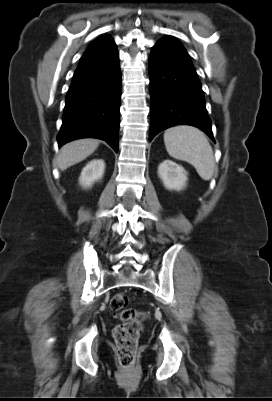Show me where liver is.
Instances as JSON below:
<instances>
[{"label":"liver","instance_id":"6515ba94","mask_svg":"<svg viewBox=\"0 0 272 401\" xmlns=\"http://www.w3.org/2000/svg\"><path fill=\"white\" fill-rule=\"evenodd\" d=\"M97 139H79L65 144L57 157V165L64 171L90 156L99 146Z\"/></svg>","mask_w":272,"mask_h":401}]
</instances>
